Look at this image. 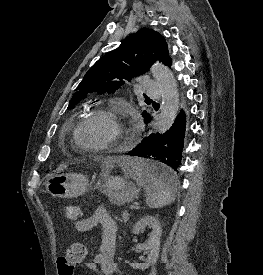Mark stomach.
Segmentation results:
<instances>
[{"label":"stomach","instance_id":"obj_1","mask_svg":"<svg viewBox=\"0 0 263 275\" xmlns=\"http://www.w3.org/2000/svg\"><path fill=\"white\" fill-rule=\"evenodd\" d=\"M102 184L99 188L105 192L116 205H122L131 201L139 193V190L120 176L109 174V166H106L101 175ZM89 180L86 176L77 173L52 174L45 181V189L53 197L72 198L78 197L89 189Z\"/></svg>","mask_w":263,"mask_h":275}]
</instances>
